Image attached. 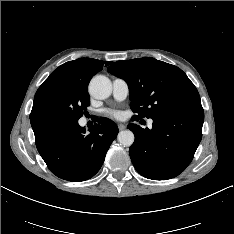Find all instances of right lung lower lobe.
Instances as JSON below:
<instances>
[{
  "label": "right lung lower lobe",
  "mask_w": 234,
  "mask_h": 234,
  "mask_svg": "<svg viewBox=\"0 0 234 234\" xmlns=\"http://www.w3.org/2000/svg\"><path fill=\"white\" fill-rule=\"evenodd\" d=\"M38 152L52 173L80 182L93 177L118 134L114 122L98 119L86 133L78 120L59 115L30 117Z\"/></svg>",
  "instance_id": "98d812e1"
}]
</instances>
